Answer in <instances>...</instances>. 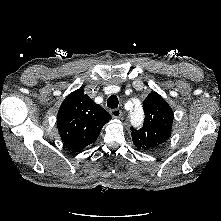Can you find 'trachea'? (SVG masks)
<instances>
[{
    "instance_id": "obj_1",
    "label": "trachea",
    "mask_w": 221,
    "mask_h": 221,
    "mask_svg": "<svg viewBox=\"0 0 221 221\" xmlns=\"http://www.w3.org/2000/svg\"><path fill=\"white\" fill-rule=\"evenodd\" d=\"M119 101L117 96L115 95H111L108 99H107V106L111 109H116L118 107Z\"/></svg>"
}]
</instances>
